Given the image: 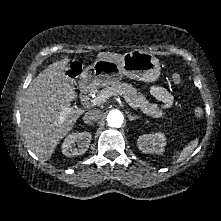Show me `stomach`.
Here are the masks:
<instances>
[{"label":"stomach","instance_id":"1","mask_svg":"<svg viewBox=\"0 0 221 221\" xmlns=\"http://www.w3.org/2000/svg\"><path fill=\"white\" fill-rule=\"evenodd\" d=\"M159 60L149 52L134 50L118 60L97 59L80 75L81 88L107 86L119 82L123 76L152 83L160 76Z\"/></svg>","mask_w":221,"mask_h":221}]
</instances>
